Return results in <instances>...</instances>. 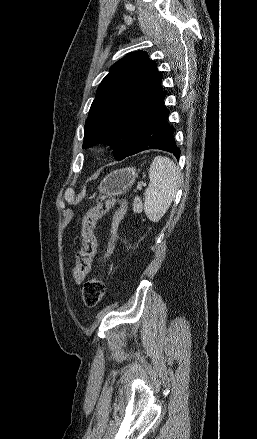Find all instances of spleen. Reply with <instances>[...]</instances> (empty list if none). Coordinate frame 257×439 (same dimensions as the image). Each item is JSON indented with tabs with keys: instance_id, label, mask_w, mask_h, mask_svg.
Instances as JSON below:
<instances>
[{
	"instance_id": "spleen-1",
	"label": "spleen",
	"mask_w": 257,
	"mask_h": 439,
	"mask_svg": "<svg viewBox=\"0 0 257 439\" xmlns=\"http://www.w3.org/2000/svg\"><path fill=\"white\" fill-rule=\"evenodd\" d=\"M150 183L145 191L144 211L159 222L170 207L179 185V171L168 157L156 156L149 169Z\"/></svg>"
}]
</instances>
